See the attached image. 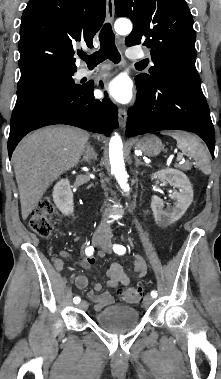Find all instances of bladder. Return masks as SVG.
<instances>
[{
	"instance_id": "31cf9c89",
	"label": "bladder",
	"mask_w": 221,
	"mask_h": 379,
	"mask_svg": "<svg viewBox=\"0 0 221 379\" xmlns=\"http://www.w3.org/2000/svg\"><path fill=\"white\" fill-rule=\"evenodd\" d=\"M94 321L109 333L121 334L136 327L140 321V315L134 307L114 304L96 313Z\"/></svg>"
}]
</instances>
